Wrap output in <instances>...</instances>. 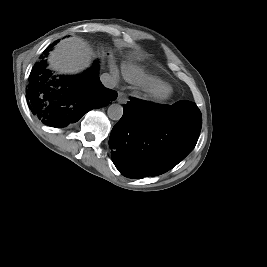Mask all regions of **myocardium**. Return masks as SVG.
Masks as SVG:
<instances>
[{"mask_svg": "<svg viewBox=\"0 0 267 267\" xmlns=\"http://www.w3.org/2000/svg\"><path fill=\"white\" fill-rule=\"evenodd\" d=\"M172 95V89L167 85L152 86L148 91V96L153 101L161 102L167 100Z\"/></svg>", "mask_w": 267, "mask_h": 267, "instance_id": "1", "label": "myocardium"}]
</instances>
